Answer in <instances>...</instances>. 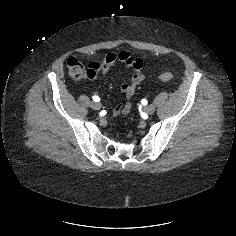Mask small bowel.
<instances>
[{
  "instance_id": "c3829d8e",
  "label": "small bowel",
  "mask_w": 236,
  "mask_h": 236,
  "mask_svg": "<svg viewBox=\"0 0 236 236\" xmlns=\"http://www.w3.org/2000/svg\"><path fill=\"white\" fill-rule=\"evenodd\" d=\"M116 61H120L128 68L133 70V74L129 82H121L119 89L121 93L127 99L125 104H120L114 107L112 110L113 116L126 115L131 111L132 104L130 99L134 95L135 88L141 84L144 80L143 68L144 60L140 56H134L127 51L119 53H108L105 55L102 61H92L88 64V68L91 72L90 79H97L100 74L106 73Z\"/></svg>"
}]
</instances>
